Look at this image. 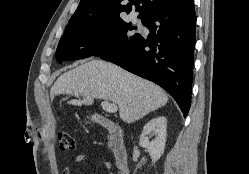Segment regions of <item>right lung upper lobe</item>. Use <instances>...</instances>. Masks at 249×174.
<instances>
[{
    "label": "right lung upper lobe",
    "instance_id": "cb5924a9",
    "mask_svg": "<svg viewBox=\"0 0 249 174\" xmlns=\"http://www.w3.org/2000/svg\"><path fill=\"white\" fill-rule=\"evenodd\" d=\"M193 0H81L66 27L120 18L122 12L130 13L132 6L145 20L152 14L176 6H184Z\"/></svg>",
    "mask_w": 249,
    "mask_h": 174
}]
</instances>
